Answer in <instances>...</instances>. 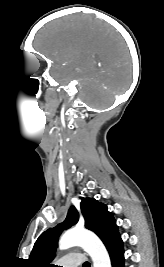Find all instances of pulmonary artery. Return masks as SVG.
I'll return each instance as SVG.
<instances>
[{"instance_id": "pulmonary-artery-1", "label": "pulmonary artery", "mask_w": 164, "mask_h": 267, "mask_svg": "<svg viewBox=\"0 0 164 267\" xmlns=\"http://www.w3.org/2000/svg\"><path fill=\"white\" fill-rule=\"evenodd\" d=\"M84 262V258L82 255L77 254V253H72L71 255L65 257L62 260V266L63 267H77L79 265H82Z\"/></svg>"}]
</instances>
